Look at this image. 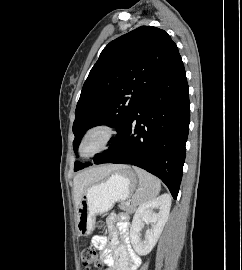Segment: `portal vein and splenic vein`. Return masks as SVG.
<instances>
[{"label": "portal vein and splenic vein", "mask_w": 242, "mask_h": 270, "mask_svg": "<svg viewBox=\"0 0 242 270\" xmlns=\"http://www.w3.org/2000/svg\"><path fill=\"white\" fill-rule=\"evenodd\" d=\"M126 204H130V202H129V201H127V202H126Z\"/></svg>", "instance_id": "1"}]
</instances>
